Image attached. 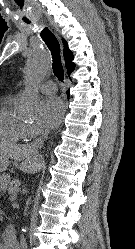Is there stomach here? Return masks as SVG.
Listing matches in <instances>:
<instances>
[{
    "instance_id": "1",
    "label": "stomach",
    "mask_w": 135,
    "mask_h": 249,
    "mask_svg": "<svg viewBox=\"0 0 135 249\" xmlns=\"http://www.w3.org/2000/svg\"><path fill=\"white\" fill-rule=\"evenodd\" d=\"M9 164V160L7 157L0 155V183L3 182V179L6 178V175L3 172L6 170L7 165ZM9 182V178H7V183Z\"/></svg>"
}]
</instances>
